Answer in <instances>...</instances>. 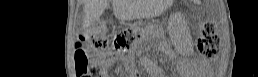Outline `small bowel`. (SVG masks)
<instances>
[{
    "mask_svg": "<svg viewBox=\"0 0 258 77\" xmlns=\"http://www.w3.org/2000/svg\"><path fill=\"white\" fill-rule=\"evenodd\" d=\"M91 59L96 63H103L104 56L98 52H91Z\"/></svg>",
    "mask_w": 258,
    "mask_h": 77,
    "instance_id": "c3829d8e",
    "label": "small bowel"
}]
</instances>
